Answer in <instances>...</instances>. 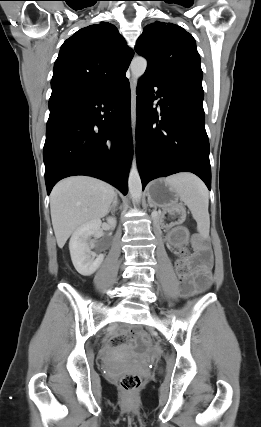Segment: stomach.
Instances as JSON below:
<instances>
[{"label":"stomach","mask_w":261,"mask_h":427,"mask_svg":"<svg viewBox=\"0 0 261 427\" xmlns=\"http://www.w3.org/2000/svg\"><path fill=\"white\" fill-rule=\"evenodd\" d=\"M147 195L149 203L153 206L161 207L168 212L183 211L177 191L166 180L159 179L151 182Z\"/></svg>","instance_id":"1"}]
</instances>
